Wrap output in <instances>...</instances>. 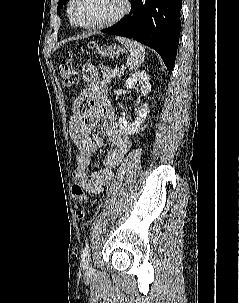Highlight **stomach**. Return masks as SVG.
I'll list each match as a JSON object with an SVG mask.
<instances>
[{"label": "stomach", "instance_id": "0dacf381", "mask_svg": "<svg viewBox=\"0 0 239 303\" xmlns=\"http://www.w3.org/2000/svg\"><path fill=\"white\" fill-rule=\"evenodd\" d=\"M96 51H98V53L102 56H107L114 59L120 55V52L122 50L120 47H117L116 45H111V46H103L101 48L97 47Z\"/></svg>", "mask_w": 239, "mask_h": 303}]
</instances>
